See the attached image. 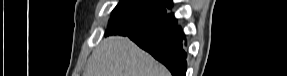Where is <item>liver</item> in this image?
<instances>
[{
  "label": "liver",
  "mask_w": 287,
  "mask_h": 76,
  "mask_svg": "<svg viewBox=\"0 0 287 76\" xmlns=\"http://www.w3.org/2000/svg\"><path fill=\"white\" fill-rule=\"evenodd\" d=\"M86 76H169V72L127 37L110 36L93 51Z\"/></svg>",
  "instance_id": "1"
}]
</instances>
